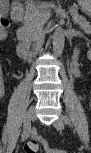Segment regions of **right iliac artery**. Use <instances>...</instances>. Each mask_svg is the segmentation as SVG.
Masks as SVG:
<instances>
[{"label": "right iliac artery", "mask_w": 91, "mask_h": 153, "mask_svg": "<svg viewBox=\"0 0 91 153\" xmlns=\"http://www.w3.org/2000/svg\"><path fill=\"white\" fill-rule=\"evenodd\" d=\"M30 135V129H25L24 128V131H23V134H22V141L25 140L26 138H28Z\"/></svg>", "instance_id": "1"}]
</instances>
